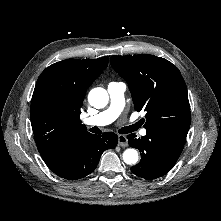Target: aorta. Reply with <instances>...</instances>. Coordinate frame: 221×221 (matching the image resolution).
I'll list each match as a JSON object with an SVG mask.
<instances>
[{
	"label": "aorta",
	"mask_w": 221,
	"mask_h": 221,
	"mask_svg": "<svg viewBox=\"0 0 221 221\" xmlns=\"http://www.w3.org/2000/svg\"><path fill=\"white\" fill-rule=\"evenodd\" d=\"M88 101L90 105L100 109L104 108L108 104L109 96L105 89L97 87L89 92ZM123 160L129 165L137 163L138 152L133 148L126 149L123 153Z\"/></svg>",
	"instance_id": "762f6f07"
}]
</instances>
